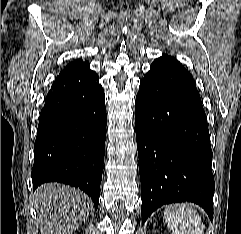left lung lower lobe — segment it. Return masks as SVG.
I'll use <instances>...</instances> for the list:
<instances>
[{"label": "left lung lower lobe", "mask_w": 241, "mask_h": 234, "mask_svg": "<svg viewBox=\"0 0 241 234\" xmlns=\"http://www.w3.org/2000/svg\"><path fill=\"white\" fill-rule=\"evenodd\" d=\"M136 139L144 223L164 204L191 201L213 219L212 150L200 95L173 57L150 66L136 96Z\"/></svg>", "instance_id": "0a47b994"}]
</instances>
